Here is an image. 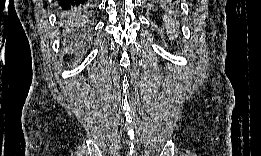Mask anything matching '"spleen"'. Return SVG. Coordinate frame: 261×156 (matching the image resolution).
Returning <instances> with one entry per match:
<instances>
[{
    "mask_svg": "<svg viewBox=\"0 0 261 156\" xmlns=\"http://www.w3.org/2000/svg\"><path fill=\"white\" fill-rule=\"evenodd\" d=\"M163 20H164L165 26L167 28V34L170 35V37L172 35L171 39L178 36V30L175 27V21L172 19L171 13H169V15L165 14L163 17Z\"/></svg>",
    "mask_w": 261,
    "mask_h": 156,
    "instance_id": "obj_1",
    "label": "spleen"
}]
</instances>
